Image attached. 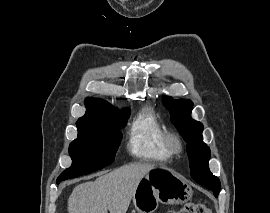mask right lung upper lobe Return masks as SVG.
<instances>
[{"mask_svg":"<svg viewBox=\"0 0 270 213\" xmlns=\"http://www.w3.org/2000/svg\"><path fill=\"white\" fill-rule=\"evenodd\" d=\"M85 104L87 111L77 122L110 121L129 112V109L119 111L101 99L87 98Z\"/></svg>","mask_w":270,"mask_h":213,"instance_id":"1","label":"right lung upper lobe"}]
</instances>
